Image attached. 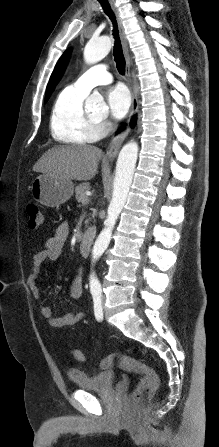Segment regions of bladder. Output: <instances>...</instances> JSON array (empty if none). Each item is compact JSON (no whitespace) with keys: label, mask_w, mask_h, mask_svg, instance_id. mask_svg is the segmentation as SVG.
Instances as JSON below:
<instances>
[{"label":"bladder","mask_w":219,"mask_h":447,"mask_svg":"<svg viewBox=\"0 0 219 447\" xmlns=\"http://www.w3.org/2000/svg\"><path fill=\"white\" fill-rule=\"evenodd\" d=\"M68 375L78 388L90 392L107 391L114 386L116 379L115 373L110 370L88 373L83 370L71 369Z\"/></svg>","instance_id":"1"}]
</instances>
